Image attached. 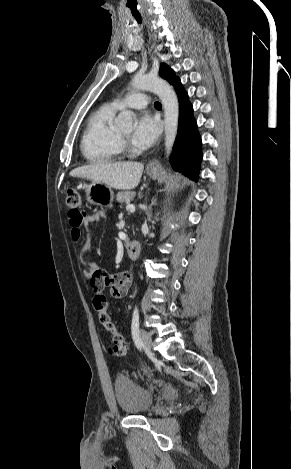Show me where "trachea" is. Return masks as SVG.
Here are the masks:
<instances>
[{
  "label": "trachea",
  "mask_w": 291,
  "mask_h": 469,
  "mask_svg": "<svg viewBox=\"0 0 291 469\" xmlns=\"http://www.w3.org/2000/svg\"><path fill=\"white\" fill-rule=\"evenodd\" d=\"M154 106H155V107H161L162 105H161L160 102H155V103H154Z\"/></svg>",
  "instance_id": "obj_1"
}]
</instances>
